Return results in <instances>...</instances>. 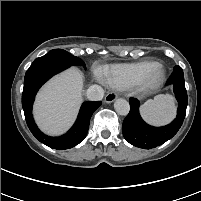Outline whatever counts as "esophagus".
Wrapping results in <instances>:
<instances>
[{
	"mask_svg": "<svg viewBox=\"0 0 201 201\" xmlns=\"http://www.w3.org/2000/svg\"><path fill=\"white\" fill-rule=\"evenodd\" d=\"M117 98V94L114 92H109L107 93V95L105 96L104 102L105 103H112L114 100H116Z\"/></svg>",
	"mask_w": 201,
	"mask_h": 201,
	"instance_id": "34e87169",
	"label": "esophagus"
}]
</instances>
